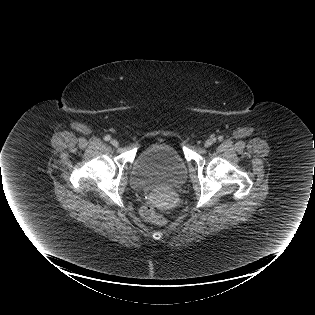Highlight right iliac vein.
Wrapping results in <instances>:
<instances>
[{
    "label": "right iliac vein",
    "mask_w": 315,
    "mask_h": 315,
    "mask_svg": "<svg viewBox=\"0 0 315 315\" xmlns=\"http://www.w3.org/2000/svg\"><path fill=\"white\" fill-rule=\"evenodd\" d=\"M110 143H111L113 146H115V147H117V146L119 145V142H118L117 140H115V139H112V140L110 141Z\"/></svg>",
    "instance_id": "obj_1"
}]
</instances>
